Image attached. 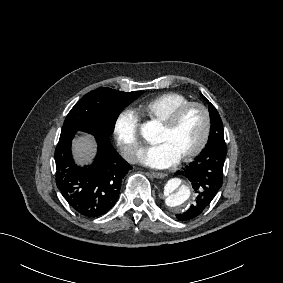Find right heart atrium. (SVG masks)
Instances as JSON below:
<instances>
[{
    "label": "right heart atrium",
    "mask_w": 283,
    "mask_h": 283,
    "mask_svg": "<svg viewBox=\"0 0 283 283\" xmlns=\"http://www.w3.org/2000/svg\"><path fill=\"white\" fill-rule=\"evenodd\" d=\"M138 125L136 114L129 108L121 110L113 122V140L119 152L128 161L134 160L140 146Z\"/></svg>",
    "instance_id": "1"
}]
</instances>
